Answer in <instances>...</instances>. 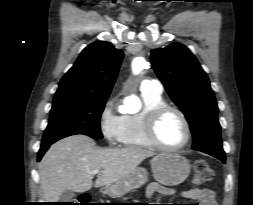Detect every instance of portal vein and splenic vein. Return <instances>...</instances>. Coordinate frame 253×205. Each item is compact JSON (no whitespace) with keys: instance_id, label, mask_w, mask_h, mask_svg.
I'll use <instances>...</instances> for the list:
<instances>
[{"instance_id":"obj_1","label":"portal vein and splenic vein","mask_w":253,"mask_h":205,"mask_svg":"<svg viewBox=\"0 0 253 205\" xmlns=\"http://www.w3.org/2000/svg\"><path fill=\"white\" fill-rule=\"evenodd\" d=\"M101 171L100 170H95V171H93L92 173L93 174H98V173H100Z\"/></svg>"}]
</instances>
